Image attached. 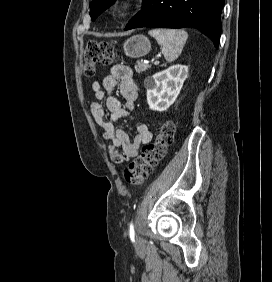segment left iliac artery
<instances>
[{"instance_id":"44dca946","label":"left iliac artery","mask_w":272,"mask_h":282,"mask_svg":"<svg viewBox=\"0 0 272 282\" xmlns=\"http://www.w3.org/2000/svg\"><path fill=\"white\" fill-rule=\"evenodd\" d=\"M129 235H130L131 240L134 241L135 240V232H134V227H133L132 223L130 224Z\"/></svg>"}]
</instances>
